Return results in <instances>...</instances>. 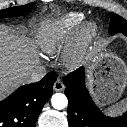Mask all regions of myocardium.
<instances>
[{
    "mask_svg": "<svg viewBox=\"0 0 127 127\" xmlns=\"http://www.w3.org/2000/svg\"><path fill=\"white\" fill-rule=\"evenodd\" d=\"M98 31L99 26L93 21L87 22L79 28L66 55L65 61L68 67L75 68L82 63L89 45L97 36Z\"/></svg>",
    "mask_w": 127,
    "mask_h": 127,
    "instance_id": "1",
    "label": "myocardium"
}]
</instances>
